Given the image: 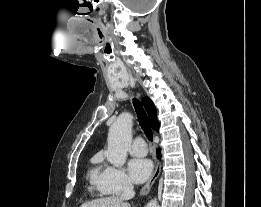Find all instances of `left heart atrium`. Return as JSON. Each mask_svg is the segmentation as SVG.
Here are the masks:
<instances>
[{"label":"left heart atrium","instance_id":"39dd6f15","mask_svg":"<svg viewBox=\"0 0 261 207\" xmlns=\"http://www.w3.org/2000/svg\"><path fill=\"white\" fill-rule=\"evenodd\" d=\"M152 169V162L145 158H134L128 162L130 178L137 184L146 181L151 175Z\"/></svg>","mask_w":261,"mask_h":207}]
</instances>
